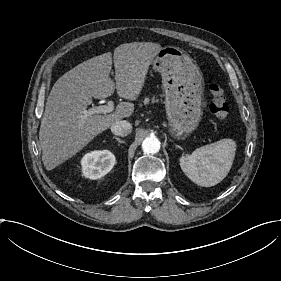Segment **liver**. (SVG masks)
<instances>
[{
    "label": "liver",
    "instance_id": "1",
    "mask_svg": "<svg viewBox=\"0 0 281 281\" xmlns=\"http://www.w3.org/2000/svg\"><path fill=\"white\" fill-rule=\"evenodd\" d=\"M161 49L160 44L152 42L124 43L116 47L113 55L116 83L109 77L110 52L78 64L54 83L39 130L46 170H52L76 155L98 134L132 115L134 104L120 102L113 113L83 117L92 98L105 99L115 89L119 97L136 100L149 66Z\"/></svg>",
    "mask_w": 281,
    "mask_h": 281
}]
</instances>
